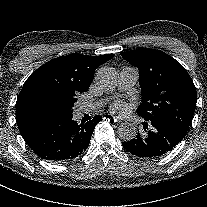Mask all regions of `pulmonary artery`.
Listing matches in <instances>:
<instances>
[{
    "instance_id": "e3ab8cb5",
    "label": "pulmonary artery",
    "mask_w": 207,
    "mask_h": 207,
    "mask_svg": "<svg viewBox=\"0 0 207 207\" xmlns=\"http://www.w3.org/2000/svg\"><path fill=\"white\" fill-rule=\"evenodd\" d=\"M138 79V72L134 68L125 67L120 72L119 87L120 89L126 90L132 87ZM103 105L102 101L96 102L94 104H87L84 106L83 110L85 113H89L96 108Z\"/></svg>"
}]
</instances>
